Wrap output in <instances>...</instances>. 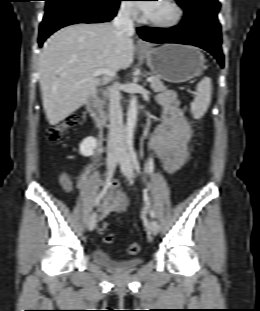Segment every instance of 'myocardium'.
I'll return each instance as SVG.
<instances>
[{
	"instance_id": "f54148a6",
	"label": "myocardium",
	"mask_w": 260,
	"mask_h": 311,
	"mask_svg": "<svg viewBox=\"0 0 260 311\" xmlns=\"http://www.w3.org/2000/svg\"><path fill=\"white\" fill-rule=\"evenodd\" d=\"M166 2L170 5V7L173 9L174 12V15L171 19L167 21H155L145 16L143 18V21L146 24L158 29H170L179 25L184 16L183 8L181 7V5L178 3L177 0H166Z\"/></svg>"
}]
</instances>
